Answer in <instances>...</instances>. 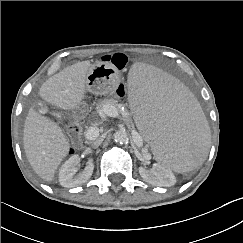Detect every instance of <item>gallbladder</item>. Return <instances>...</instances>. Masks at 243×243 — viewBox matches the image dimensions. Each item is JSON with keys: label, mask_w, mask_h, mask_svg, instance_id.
<instances>
[{"label": "gallbladder", "mask_w": 243, "mask_h": 243, "mask_svg": "<svg viewBox=\"0 0 243 243\" xmlns=\"http://www.w3.org/2000/svg\"><path fill=\"white\" fill-rule=\"evenodd\" d=\"M33 108L36 112H39V113H44L46 115V111L49 109V108H54L50 103H44V102H41V101H36L33 105ZM55 109V108H54ZM59 116V114H58ZM58 118V117H57ZM56 119V118H55Z\"/></svg>", "instance_id": "bac80fb5"}]
</instances>
